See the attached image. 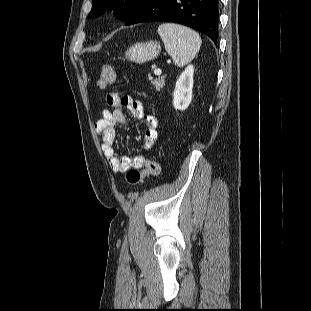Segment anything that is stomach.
<instances>
[{
    "label": "stomach",
    "instance_id": "obj_1",
    "mask_svg": "<svg viewBox=\"0 0 311 311\" xmlns=\"http://www.w3.org/2000/svg\"><path fill=\"white\" fill-rule=\"evenodd\" d=\"M161 51L156 41L137 42L125 52V57L135 63H145L155 59Z\"/></svg>",
    "mask_w": 311,
    "mask_h": 311
}]
</instances>
